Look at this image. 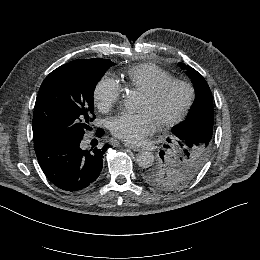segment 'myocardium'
Masks as SVG:
<instances>
[{"mask_svg": "<svg viewBox=\"0 0 260 260\" xmlns=\"http://www.w3.org/2000/svg\"><path fill=\"white\" fill-rule=\"evenodd\" d=\"M172 86H180L184 88L187 91V100L184 106L174 116L156 125V127L159 130H164L173 127L185 118V116L189 113L194 104L196 97L195 88L192 84L183 79L172 78L160 82L158 85H156L150 90L142 92L148 100L156 101L160 97H162L166 93V91Z\"/></svg>", "mask_w": 260, "mask_h": 260, "instance_id": "myocardium-1", "label": "myocardium"}]
</instances>
